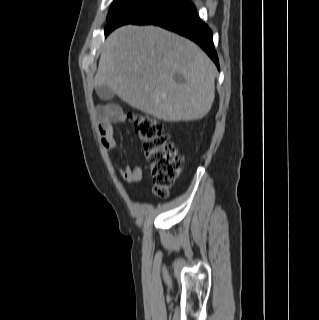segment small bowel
<instances>
[{"mask_svg":"<svg viewBox=\"0 0 319 320\" xmlns=\"http://www.w3.org/2000/svg\"><path fill=\"white\" fill-rule=\"evenodd\" d=\"M123 121H125V114L118 106H106L98 113L99 142L105 151H110L116 147L114 124ZM117 173L122 180L128 183H138L143 177V169L138 162L118 167Z\"/></svg>","mask_w":319,"mask_h":320,"instance_id":"small-bowel-1","label":"small bowel"}]
</instances>
